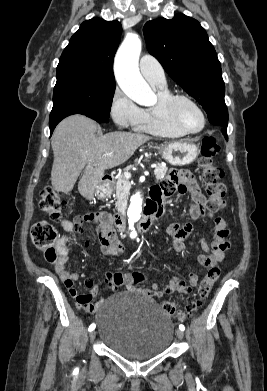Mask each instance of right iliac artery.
<instances>
[{
  "mask_svg": "<svg viewBox=\"0 0 267 391\" xmlns=\"http://www.w3.org/2000/svg\"><path fill=\"white\" fill-rule=\"evenodd\" d=\"M95 329V324H91L90 326H89V331H92V330H94Z\"/></svg>",
  "mask_w": 267,
  "mask_h": 391,
  "instance_id": "right-iliac-artery-1",
  "label": "right iliac artery"
}]
</instances>
